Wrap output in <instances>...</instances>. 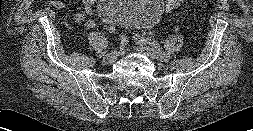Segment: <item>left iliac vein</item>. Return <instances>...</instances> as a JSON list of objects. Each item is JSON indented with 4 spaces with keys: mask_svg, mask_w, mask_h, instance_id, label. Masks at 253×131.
Segmentation results:
<instances>
[{
    "mask_svg": "<svg viewBox=\"0 0 253 131\" xmlns=\"http://www.w3.org/2000/svg\"><path fill=\"white\" fill-rule=\"evenodd\" d=\"M134 41L138 45V51H140L141 53L147 55L148 57H150L152 59H159V58H161L164 61H167V60L170 59V56L168 54H163L161 56L158 53L157 50H155L154 48L146 45V43L140 41L137 37H134Z\"/></svg>",
    "mask_w": 253,
    "mask_h": 131,
    "instance_id": "4c4485c4",
    "label": "left iliac vein"
}]
</instances>
